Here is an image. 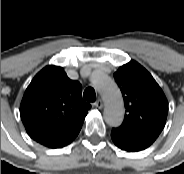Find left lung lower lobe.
Masks as SVG:
<instances>
[{
  "mask_svg": "<svg viewBox=\"0 0 184 174\" xmlns=\"http://www.w3.org/2000/svg\"><path fill=\"white\" fill-rule=\"evenodd\" d=\"M111 138L116 146L129 152L144 150L156 140L154 137L135 133L122 127L113 128Z\"/></svg>",
  "mask_w": 184,
  "mask_h": 174,
  "instance_id": "left-lung-lower-lobe-1",
  "label": "left lung lower lobe"
}]
</instances>
